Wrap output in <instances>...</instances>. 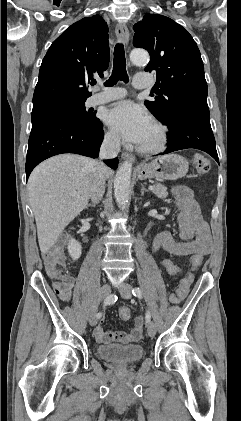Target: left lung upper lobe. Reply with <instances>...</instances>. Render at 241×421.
Segmentation results:
<instances>
[{
	"instance_id": "1",
	"label": "left lung upper lobe",
	"mask_w": 241,
	"mask_h": 421,
	"mask_svg": "<svg viewBox=\"0 0 241 421\" xmlns=\"http://www.w3.org/2000/svg\"><path fill=\"white\" fill-rule=\"evenodd\" d=\"M133 45L146 49V71L156 72L158 91L154 101H145L150 112L165 123L170 133L180 119L196 107L207 105V83L200 51L192 36L172 19L147 14L133 27Z\"/></svg>"
}]
</instances>
